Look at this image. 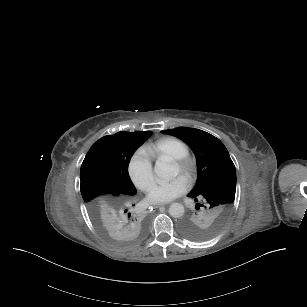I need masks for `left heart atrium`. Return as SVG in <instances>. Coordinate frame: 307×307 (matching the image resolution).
<instances>
[{"label": "left heart atrium", "instance_id": "left-heart-atrium-1", "mask_svg": "<svg viewBox=\"0 0 307 307\" xmlns=\"http://www.w3.org/2000/svg\"><path fill=\"white\" fill-rule=\"evenodd\" d=\"M186 188L187 182L177 177L170 181H152L145 191L149 202L164 204L180 196Z\"/></svg>", "mask_w": 307, "mask_h": 307}]
</instances>
